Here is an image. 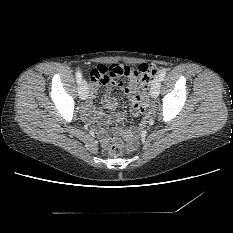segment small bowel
Masks as SVG:
<instances>
[{"label": "small bowel", "mask_w": 233, "mask_h": 233, "mask_svg": "<svg viewBox=\"0 0 233 233\" xmlns=\"http://www.w3.org/2000/svg\"><path fill=\"white\" fill-rule=\"evenodd\" d=\"M99 66L105 67L110 74V79L107 82H105L107 87L102 98L103 108L108 110L116 109L118 107V101L112 96L111 91L113 87L123 88L124 93L127 95L132 104V117H139L144 112L147 102L141 103L138 100V95L139 92H143L145 90L146 85L148 83L141 82L138 78H130L128 85L124 87V83L121 79L123 77L124 72V67L122 64H99ZM98 86V82H93V84L91 85L88 103L86 104V107L83 112L84 116L93 121H98L100 119H105L106 121H117L121 119L124 116L123 112L115 113L109 116H104L103 112L97 109L94 100L97 96ZM141 130L142 126L133 127L131 130L127 132H122L116 129L111 135H108L104 131L100 130L99 137L100 141L103 144L123 140L129 142L132 146H136L137 139Z\"/></svg>", "instance_id": "1"}]
</instances>
